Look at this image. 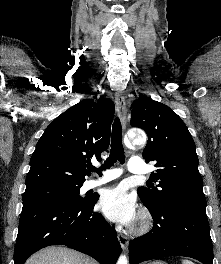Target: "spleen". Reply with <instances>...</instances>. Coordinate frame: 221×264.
Here are the masks:
<instances>
[{
	"label": "spleen",
	"mask_w": 221,
	"mask_h": 264,
	"mask_svg": "<svg viewBox=\"0 0 221 264\" xmlns=\"http://www.w3.org/2000/svg\"><path fill=\"white\" fill-rule=\"evenodd\" d=\"M182 264H194V263L186 259V260H182Z\"/></svg>",
	"instance_id": "3e777b00"
}]
</instances>
